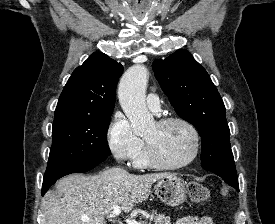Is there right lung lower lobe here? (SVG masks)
I'll use <instances>...</instances> for the list:
<instances>
[{
    "label": "right lung lower lobe",
    "mask_w": 275,
    "mask_h": 224,
    "mask_svg": "<svg viewBox=\"0 0 275 224\" xmlns=\"http://www.w3.org/2000/svg\"><path fill=\"white\" fill-rule=\"evenodd\" d=\"M107 158V156L96 158L88 163L85 164H79L71 167L64 168L58 172L50 173V174H45L44 179H43V185H42V195L49 189L51 185H53L57 179L71 174V173H84L92 168H94L96 165L101 163Z\"/></svg>",
    "instance_id": "obj_1"
}]
</instances>
